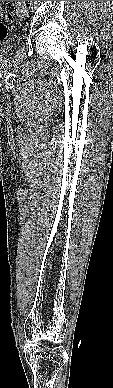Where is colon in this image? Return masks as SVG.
I'll return each mask as SVG.
<instances>
[{
  "mask_svg": "<svg viewBox=\"0 0 113 388\" xmlns=\"http://www.w3.org/2000/svg\"><path fill=\"white\" fill-rule=\"evenodd\" d=\"M14 19V16L12 14H7L5 16L4 21L0 20V40L4 39L8 35V27L6 25V22H12Z\"/></svg>",
  "mask_w": 113,
  "mask_h": 388,
  "instance_id": "colon-1",
  "label": "colon"
}]
</instances>
